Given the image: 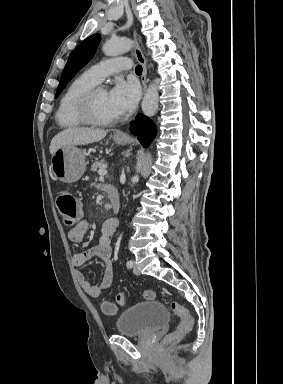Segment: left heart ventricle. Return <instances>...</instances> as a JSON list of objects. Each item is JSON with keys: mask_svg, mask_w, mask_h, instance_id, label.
Returning a JSON list of instances; mask_svg holds the SVG:
<instances>
[{"mask_svg": "<svg viewBox=\"0 0 283 384\" xmlns=\"http://www.w3.org/2000/svg\"><path fill=\"white\" fill-rule=\"evenodd\" d=\"M93 112L101 120H113L119 116L114 112L106 89L96 93L93 101Z\"/></svg>", "mask_w": 283, "mask_h": 384, "instance_id": "b2bd125f", "label": "left heart ventricle"}]
</instances>
